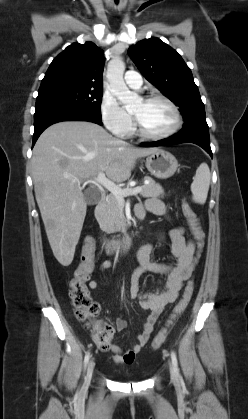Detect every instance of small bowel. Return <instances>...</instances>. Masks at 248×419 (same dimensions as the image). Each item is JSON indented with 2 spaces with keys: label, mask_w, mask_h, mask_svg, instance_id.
I'll use <instances>...</instances> for the list:
<instances>
[{
  "label": "small bowel",
  "mask_w": 248,
  "mask_h": 419,
  "mask_svg": "<svg viewBox=\"0 0 248 419\" xmlns=\"http://www.w3.org/2000/svg\"><path fill=\"white\" fill-rule=\"evenodd\" d=\"M144 215L146 212L158 216L167 214L165 204L156 198H150L142 206ZM171 245L170 257L172 262L154 261L152 256L155 252L152 244H144L137 251V260L139 266L134 270L130 278L129 296L136 300L143 310L149 311V315L143 325V330L136 337V343L128 350H122L112 341L106 345H99L101 352H112L114 354V362L117 364H132L136 355L148 342L155 323L161 314L163 308L174 302L183 284L191 278L196 265L195 244L187 240L184 236L182 227H174L169 232ZM113 266L111 260H104L100 263L98 269L103 272ZM95 270L92 268V271ZM148 273L164 275L166 277L162 288H156L151 292H141L140 281L142 277ZM91 289L98 287V281L92 279L88 283ZM118 330L126 327V322L122 319L116 321Z\"/></svg>",
  "instance_id": "obj_1"
}]
</instances>
